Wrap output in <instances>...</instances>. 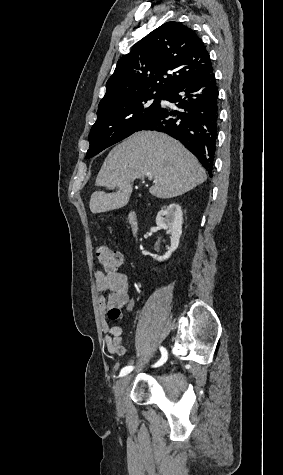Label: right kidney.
<instances>
[{
    "label": "right kidney",
    "mask_w": 283,
    "mask_h": 475,
    "mask_svg": "<svg viewBox=\"0 0 283 475\" xmlns=\"http://www.w3.org/2000/svg\"><path fill=\"white\" fill-rule=\"evenodd\" d=\"M182 216L183 214L179 204H170V206H165V208H162V210L158 212L155 220L158 228H162V230H168V232H171V245L168 247V251H166L164 255H159V257H156L158 261H164V259H168L172 251L177 249L182 234Z\"/></svg>",
    "instance_id": "obj_1"
}]
</instances>
